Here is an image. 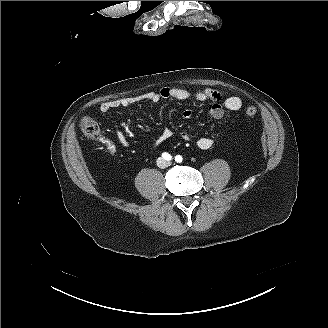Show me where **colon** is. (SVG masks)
<instances>
[{
	"instance_id": "1",
	"label": "colon",
	"mask_w": 328,
	"mask_h": 328,
	"mask_svg": "<svg viewBox=\"0 0 328 328\" xmlns=\"http://www.w3.org/2000/svg\"><path fill=\"white\" fill-rule=\"evenodd\" d=\"M245 113L248 117H254L257 114V109L254 106L246 108ZM80 129L83 135L88 139H94L99 134V125L91 117L85 116L80 121Z\"/></svg>"
}]
</instances>
